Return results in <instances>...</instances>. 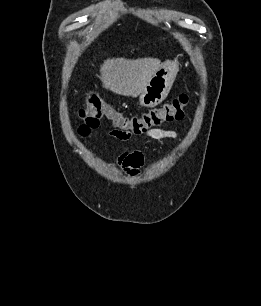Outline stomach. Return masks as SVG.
I'll use <instances>...</instances> for the list:
<instances>
[{
	"instance_id": "obj_1",
	"label": "stomach",
	"mask_w": 261,
	"mask_h": 306,
	"mask_svg": "<svg viewBox=\"0 0 261 306\" xmlns=\"http://www.w3.org/2000/svg\"><path fill=\"white\" fill-rule=\"evenodd\" d=\"M179 68L175 62H165L152 76L147 86L141 92L140 105L154 107L161 103L168 95Z\"/></svg>"
}]
</instances>
